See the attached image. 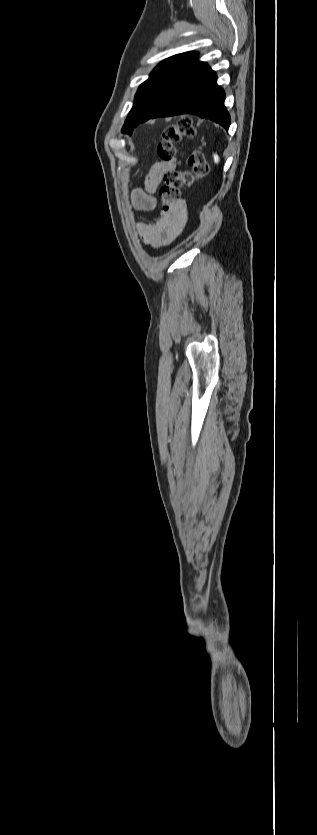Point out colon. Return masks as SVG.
Wrapping results in <instances>:
<instances>
[{
    "label": "colon",
    "mask_w": 317,
    "mask_h": 835,
    "mask_svg": "<svg viewBox=\"0 0 317 835\" xmlns=\"http://www.w3.org/2000/svg\"><path fill=\"white\" fill-rule=\"evenodd\" d=\"M195 135L196 130L192 120L189 117L180 118L175 125L163 130L161 141L157 146L158 156L162 160H173L177 156V144L184 138ZM186 162L190 167L189 170L169 171L163 176L159 195L164 210L179 205L181 189L205 178L210 172V166L200 150L191 151L186 156Z\"/></svg>",
    "instance_id": "colon-1"
}]
</instances>
